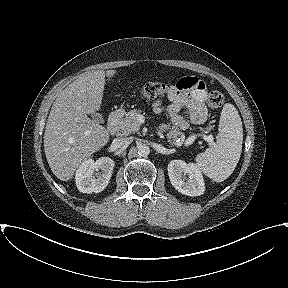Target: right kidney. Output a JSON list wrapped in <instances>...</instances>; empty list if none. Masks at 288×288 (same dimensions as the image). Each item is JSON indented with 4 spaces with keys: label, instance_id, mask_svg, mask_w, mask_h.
<instances>
[{
    "label": "right kidney",
    "instance_id": "obj_1",
    "mask_svg": "<svg viewBox=\"0 0 288 288\" xmlns=\"http://www.w3.org/2000/svg\"><path fill=\"white\" fill-rule=\"evenodd\" d=\"M114 165V161L109 157H101L96 161L86 159L76 171L78 190L87 194L103 191L110 181Z\"/></svg>",
    "mask_w": 288,
    "mask_h": 288
}]
</instances>
